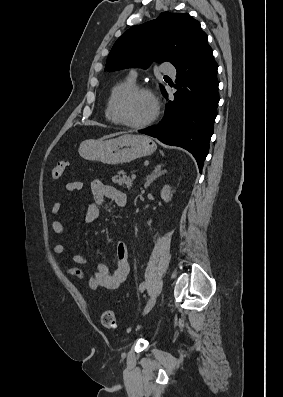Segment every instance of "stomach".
<instances>
[{
	"mask_svg": "<svg viewBox=\"0 0 283 397\" xmlns=\"http://www.w3.org/2000/svg\"><path fill=\"white\" fill-rule=\"evenodd\" d=\"M156 147L148 136L125 134L109 140H85L80 144L79 154L86 160L117 165L149 156Z\"/></svg>",
	"mask_w": 283,
	"mask_h": 397,
	"instance_id": "obj_1",
	"label": "stomach"
}]
</instances>
